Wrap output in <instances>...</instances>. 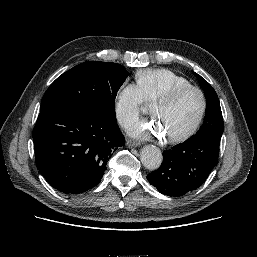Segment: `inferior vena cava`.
Listing matches in <instances>:
<instances>
[{
	"label": "inferior vena cava",
	"instance_id": "1",
	"mask_svg": "<svg viewBox=\"0 0 257 257\" xmlns=\"http://www.w3.org/2000/svg\"><path fill=\"white\" fill-rule=\"evenodd\" d=\"M130 125V120H123L122 121V126L128 127Z\"/></svg>",
	"mask_w": 257,
	"mask_h": 257
}]
</instances>
